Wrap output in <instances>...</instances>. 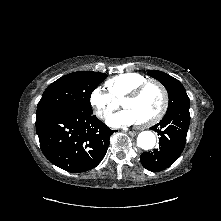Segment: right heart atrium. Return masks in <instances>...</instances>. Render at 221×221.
Wrapping results in <instances>:
<instances>
[{"mask_svg": "<svg viewBox=\"0 0 221 221\" xmlns=\"http://www.w3.org/2000/svg\"><path fill=\"white\" fill-rule=\"evenodd\" d=\"M90 104L98 118L104 119L119 107V103L109 93L96 88L90 94Z\"/></svg>", "mask_w": 221, "mask_h": 221, "instance_id": "obj_1", "label": "right heart atrium"}]
</instances>
